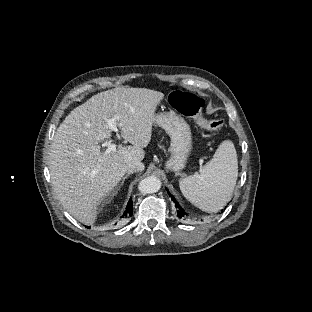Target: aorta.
I'll use <instances>...</instances> for the list:
<instances>
[{
	"label": "aorta",
	"instance_id": "obj_1",
	"mask_svg": "<svg viewBox=\"0 0 312 312\" xmlns=\"http://www.w3.org/2000/svg\"><path fill=\"white\" fill-rule=\"evenodd\" d=\"M160 187V180L153 176L142 179L137 186L138 192L142 195L156 193Z\"/></svg>",
	"mask_w": 312,
	"mask_h": 312
}]
</instances>
